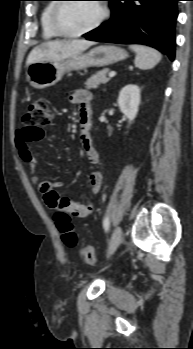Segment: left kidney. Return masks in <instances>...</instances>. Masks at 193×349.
<instances>
[{"label":"left kidney","instance_id":"1","mask_svg":"<svg viewBox=\"0 0 193 349\" xmlns=\"http://www.w3.org/2000/svg\"><path fill=\"white\" fill-rule=\"evenodd\" d=\"M140 104V89L137 85L129 84L119 93L118 105L120 111L128 119L129 124L135 119Z\"/></svg>","mask_w":193,"mask_h":349}]
</instances>
